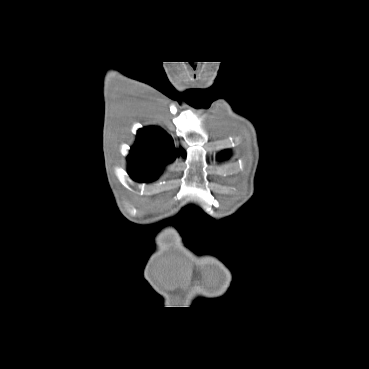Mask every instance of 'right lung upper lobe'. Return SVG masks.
<instances>
[{"mask_svg": "<svg viewBox=\"0 0 369 369\" xmlns=\"http://www.w3.org/2000/svg\"><path fill=\"white\" fill-rule=\"evenodd\" d=\"M184 154L182 148L180 149ZM179 155L171 137L159 127L138 130L137 140L127 157L129 175L138 182L156 180L162 167Z\"/></svg>", "mask_w": 369, "mask_h": 369, "instance_id": "cb5924a9", "label": "right lung upper lobe"}]
</instances>
